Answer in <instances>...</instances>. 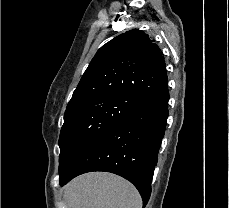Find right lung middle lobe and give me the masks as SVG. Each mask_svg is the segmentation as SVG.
Here are the masks:
<instances>
[{"mask_svg":"<svg viewBox=\"0 0 229 208\" xmlns=\"http://www.w3.org/2000/svg\"><path fill=\"white\" fill-rule=\"evenodd\" d=\"M123 95H104L79 103L64 114L59 138V175H64L95 139L141 106Z\"/></svg>","mask_w":229,"mask_h":208,"instance_id":"right-lung-middle-lobe-1","label":"right lung middle lobe"}]
</instances>
